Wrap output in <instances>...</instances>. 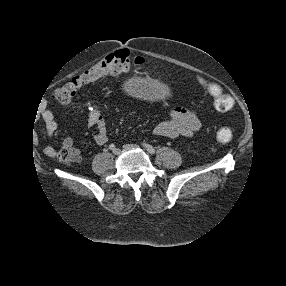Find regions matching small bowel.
Segmentation results:
<instances>
[{
  "label": "small bowel",
  "instance_id": "c3829d8e",
  "mask_svg": "<svg viewBox=\"0 0 286 286\" xmlns=\"http://www.w3.org/2000/svg\"><path fill=\"white\" fill-rule=\"evenodd\" d=\"M201 113L195 109H188L183 106H177L169 112V118L157 124L153 130L154 134L160 137L176 138V137H192L198 133L202 127ZM42 118L46 125V135L51 137L58 128V121L54 113L47 109L42 113ZM89 126L94 127L96 133L94 142L101 146L107 140V123L105 117L97 108H92L87 117ZM63 144L71 153L72 162H80V150L74 145L71 137L64 139ZM45 153L53 154L52 148H45Z\"/></svg>",
  "mask_w": 286,
  "mask_h": 286
}]
</instances>
